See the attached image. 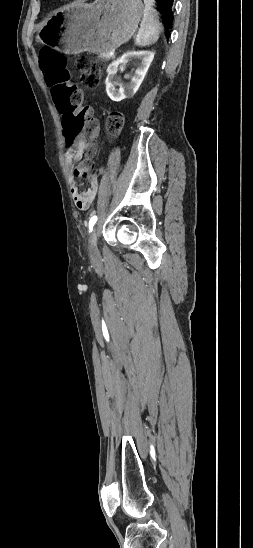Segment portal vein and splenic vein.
<instances>
[{
	"label": "portal vein and splenic vein",
	"instance_id": "portal-vein-and-splenic-vein-1",
	"mask_svg": "<svg viewBox=\"0 0 253 548\" xmlns=\"http://www.w3.org/2000/svg\"><path fill=\"white\" fill-rule=\"evenodd\" d=\"M110 55L114 58V53L113 52H111Z\"/></svg>",
	"mask_w": 253,
	"mask_h": 548
}]
</instances>
